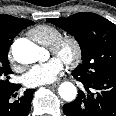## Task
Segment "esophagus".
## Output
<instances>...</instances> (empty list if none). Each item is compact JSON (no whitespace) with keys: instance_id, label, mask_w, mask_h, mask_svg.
I'll return each mask as SVG.
<instances>
[{"instance_id":"1","label":"esophagus","mask_w":116,"mask_h":116,"mask_svg":"<svg viewBox=\"0 0 116 116\" xmlns=\"http://www.w3.org/2000/svg\"><path fill=\"white\" fill-rule=\"evenodd\" d=\"M59 83H54V84H49L48 87L51 88V87H57Z\"/></svg>"}]
</instances>
